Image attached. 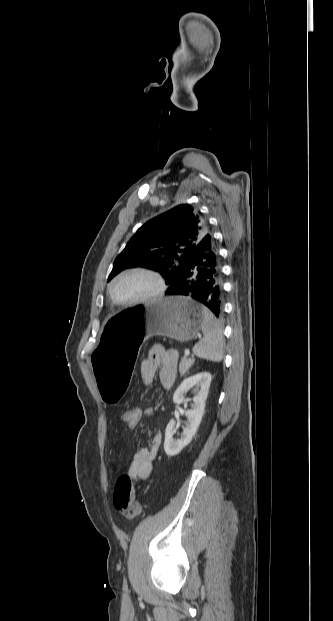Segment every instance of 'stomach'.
<instances>
[{
    "label": "stomach",
    "mask_w": 333,
    "mask_h": 621,
    "mask_svg": "<svg viewBox=\"0 0 333 621\" xmlns=\"http://www.w3.org/2000/svg\"><path fill=\"white\" fill-rule=\"evenodd\" d=\"M203 309L189 298L173 296L109 316L93 352V378L105 410H115L130 391L142 339L160 335L187 342L201 330Z\"/></svg>",
    "instance_id": "1"
}]
</instances>
